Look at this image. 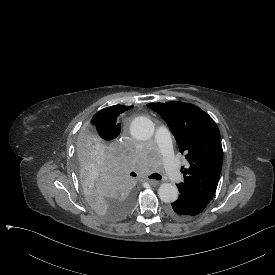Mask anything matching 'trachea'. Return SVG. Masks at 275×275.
Instances as JSON below:
<instances>
[{"instance_id":"trachea-1","label":"trachea","mask_w":275,"mask_h":275,"mask_svg":"<svg viewBox=\"0 0 275 275\" xmlns=\"http://www.w3.org/2000/svg\"><path fill=\"white\" fill-rule=\"evenodd\" d=\"M130 175H131V176H134V177L136 176V174H135L134 172H131ZM150 178H151V179L161 180L162 176H161L160 174L155 173V174H152V175L150 176Z\"/></svg>"}]
</instances>
